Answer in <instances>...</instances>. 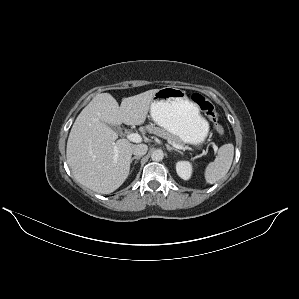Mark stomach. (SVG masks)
<instances>
[{
  "label": "stomach",
  "mask_w": 299,
  "mask_h": 299,
  "mask_svg": "<svg viewBox=\"0 0 299 299\" xmlns=\"http://www.w3.org/2000/svg\"><path fill=\"white\" fill-rule=\"evenodd\" d=\"M152 120L181 142L199 145L209 132V124L186 92L177 87H164L154 94L150 105Z\"/></svg>",
  "instance_id": "1"
}]
</instances>
